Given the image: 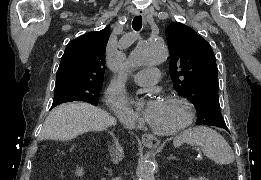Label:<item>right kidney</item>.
<instances>
[{"instance_id":"1","label":"right kidney","mask_w":261,"mask_h":180,"mask_svg":"<svg viewBox=\"0 0 261 180\" xmlns=\"http://www.w3.org/2000/svg\"><path fill=\"white\" fill-rule=\"evenodd\" d=\"M83 174H84L83 170H78L77 176H83Z\"/></svg>"}]
</instances>
